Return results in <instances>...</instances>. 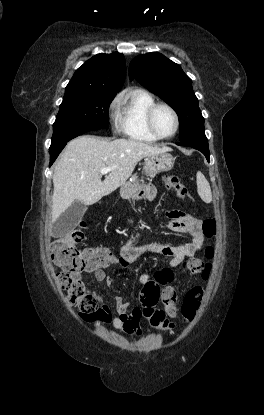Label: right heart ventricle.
<instances>
[{
  "instance_id": "1",
  "label": "right heart ventricle",
  "mask_w": 264,
  "mask_h": 415,
  "mask_svg": "<svg viewBox=\"0 0 264 415\" xmlns=\"http://www.w3.org/2000/svg\"><path fill=\"white\" fill-rule=\"evenodd\" d=\"M156 103L155 98L143 90L128 92L119 100L118 126L129 139L155 143L158 141L148 130L146 113Z\"/></svg>"
}]
</instances>
